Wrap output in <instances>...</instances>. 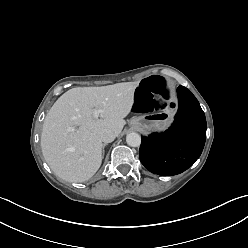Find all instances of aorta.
<instances>
[{
  "instance_id": "1",
  "label": "aorta",
  "mask_w": 248,
  "mask_h": 248,
  "mask_svg": "<svg viewBox=\"0 0 248 248\" xmlns=\"http://www.w3.org/2000/svg\"><path fill=\"white\" fill-rule=\"evenodd\" d=\"M126 142L131 147H138L141 144V136L138 133L131 132L127 134Z\"/></svg>"
}]
</instances>
